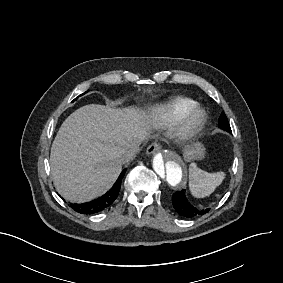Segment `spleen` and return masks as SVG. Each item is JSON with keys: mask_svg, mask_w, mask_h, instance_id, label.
Masks as SVG:
<instances>
[{"mask_svg": "<svg viewBox=\"0 0 283 283\" xmlns=\"http://www.w3.org/2000/svg\"><path fill=\"white\" fill-rule=\"evenodd\" d=\"M190 188L195 196L203 197L211 194L220 185L224 177L221 171L208 172L193 162L189 169Z\"/></svg>", "mask_w": 283, "mask_h": 283, "instance_id": "3e777b00", "label": "spleen"}]
</instances>
